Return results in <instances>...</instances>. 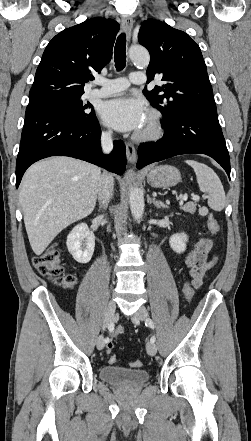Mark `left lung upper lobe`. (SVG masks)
<instances>
[{
	"instance_id": "left-lung-upper-lobe-1",
	"label": "left lung upper lobe",
	"mask_w": 251,
	"mask_h": 441,
	"mask_svg": "<svg viewBox=\"0 0 251 441\" xmlns=\"http://www.w3.org/2000/svg\"><path fill=\"white\" fill-rule=\"evenodd\" d=\"M138 40L151 55L148 82L155 76H162L165 82L151 91L144 89L148 101L162 113L161 123L183 112L216 110L201 50L188 34L149 19L142 23Z\"/></svg>"
}]
</instances>
